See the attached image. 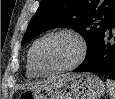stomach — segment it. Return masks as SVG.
Returning a JSON list of instances; mask_svg holds the SVG:
<instances>
[{"label": "stomach", "mask_w": 115, "mask_h": 99, "mask_svg": "<svg viewBox=\"0 0 115 99\" xmlns=\"http://www.w3.org/2000/svg\"><path fill=\"white\" fill-rule=\"evenodd\" d=\"M105 85L91 73L72 74L57 81L25 90L22 99H99L104 93Z\"/></svg>", "instance_id": "obj_1"}]
</instances>
